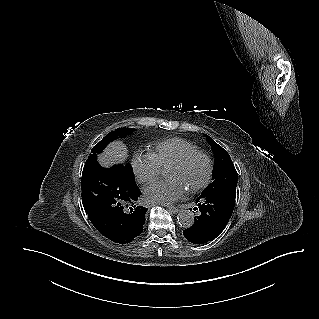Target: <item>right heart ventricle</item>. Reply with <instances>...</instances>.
<instances>
[{
	"label": "right heart ventricle",
	"mask_w": 319,
	"mask_h": 319,
	"mask_svg": "<svg viewBox=\"0 0 319 319\" xmlns=\"http://www.w3.org/2000/svg\"><path fill=\"white\" fill-rule=\"evenodd\" d=\"M197 149L198 147L187 139L172 137L153 144L151 155L161 168H166L183 154Z\"/></svg>",
	"instance_id": "1"
}]
</instances>
